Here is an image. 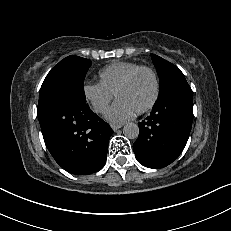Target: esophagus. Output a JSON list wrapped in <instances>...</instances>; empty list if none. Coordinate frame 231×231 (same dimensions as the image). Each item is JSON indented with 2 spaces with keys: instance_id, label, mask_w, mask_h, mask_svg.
Segmentation results:
<instances>
[{
  "instance_id": "1",
  "label": "esophagus",
  "mask_w": 231,
  "mask_h": 231,
  "mask_svg": "<svg viewBox=\"0 0 231 231\" xmlns=\"http://www.w3.org/2000/svg\"><path fill=\"white\" fill-rule=\"evenodd\" d=\"M123 125L122 124H111V128L114 131H117L118 129H120Z\"/></svg>"
}]
</instances>
